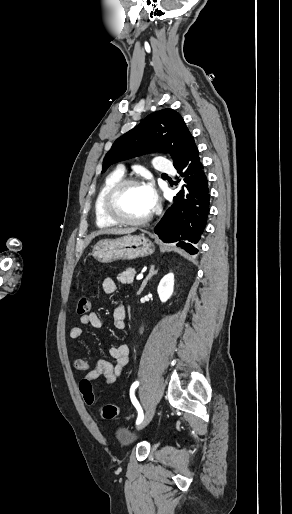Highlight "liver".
<instances>
[{"instance_id":"1","label":"liver","mask_w":292,"mask_h":514,"mask_svg":"<svg viewBox=\"0 0 292 514\" xmlns=\"http://www.w3.org/2000/svg\"><path fill=\"white\" fill-rule=\"evenodd\" d=\"M132 232H135V228H110V230H100V232H96V234H93L92 238L100 236V234H132Z\"/></svg>"}]
</instances>
